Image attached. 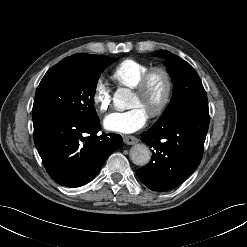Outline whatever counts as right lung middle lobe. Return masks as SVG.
Here are the masks:
<instances>
[{
	"label": "right lung middle lobe",
	"instance_id": "1",
	"mask_svg": "<svg viewBox=\"0 0 247 247\" xmlns=\"http://www.w3.org/2000/svg\"><path fill=\"white\" fill-rule=\"evenodd\" d=\"M115 58L94 55L86 60L60 61L41 80L33 104V121L64 115L95 119L94 95L100 73Z\"/></svg>",
	"mask_w": 247,
	"mask_h": 247
}]
</instances>
